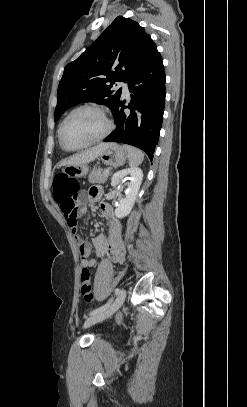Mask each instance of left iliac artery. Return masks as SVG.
<instances>
[{
    "label": "left iliac artery",
    "instance_id": "1",
    "mask_svg": "<svg viewBox=\"0 0 247 407\" xmlns=\"http://www.w3.org/2000/svg\"><path fill=\"white\" fill-rule=\"evenodd\" d=\"M119 292H120V289H118V288L115 289V295H118ZM110 304H111V301L107 302L105 305H103V306H101V307H99V308H97V309L91 311V312H90V315L93 316V315H95V314H97V313H99V312L104 311L105 309H107V308L110 306Z\"/></svg>",
    "mask_w": 247,
    "mask_h": 407
}]
</instances>
